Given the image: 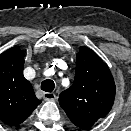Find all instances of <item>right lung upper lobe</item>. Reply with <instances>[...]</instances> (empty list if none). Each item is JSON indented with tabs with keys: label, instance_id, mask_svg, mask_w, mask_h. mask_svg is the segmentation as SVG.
Returning <instances> with one entry per match:
<instances>
[{
	"label": "right lung upper lobe",
	"instance_id": "right-lung-upper-lobe-1",
	"mask_svg": "<svg viewBox=\"0 0 131 131\" xmlns=\"http://www.w3.org/2000/svg\"><path fill=\"white\" fill-rule=\"evenodd\" d=\"M24 53L13 47L0 55V120L15 126L41 103L23 76Z\"/></svg>",
	"mask_w": 131,
	"mask_h": 131
}]
</instances>
